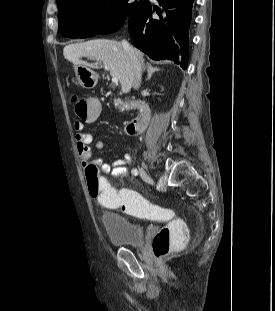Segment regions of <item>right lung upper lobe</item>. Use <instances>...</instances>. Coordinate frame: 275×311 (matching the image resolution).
I'll return each instance as SVG.
<instances>
[{"mask_svg":"<svg viewBox=\"0 0 275 311\" xmlns=\"http://www.w3.org/2000/svg\"><path fill=\"white\" fill-rule=\"evenodd\" d=\"M67 1H69V0H57V5L59 6L60 4L67 2Z\"/></svg>","mask_w":275,"mask_h":311,"instance_id":"cb5924a9","label":"right lung upper lobe"}]
</instances>
